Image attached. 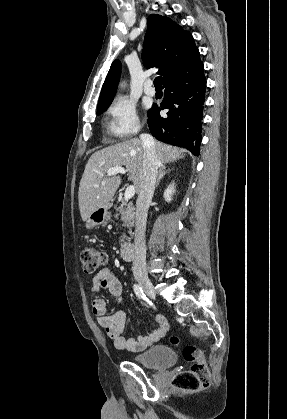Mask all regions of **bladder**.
I'll list each match as a JSON object with an SVG mask.
<instances>
[{"instance_id":"bladder-1","label":"bladder","mask_w":287,"mask_h":419,"mask_svg":"<svg viewBox=\"0 0 287 419\" xmlns=\"http://www.w3.org/2000/svg\"><path fill=\"white\" fill-rule=\"evenodd\" d=\"M133 360L146 368L164 370L176 362V355L171 347L159 345L135 355Z\"/></svg>"}]
</instances>
